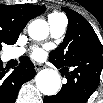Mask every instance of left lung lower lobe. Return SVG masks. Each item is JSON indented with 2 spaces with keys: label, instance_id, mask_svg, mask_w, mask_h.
Masks as SVG:
<instances>
[{
  "label": "left lung lower lobe",
  "instance_id": "left-lung-lower-lobe-1",
  "mask_svg": "<svg viewBox=\"0 0 103 103\" xmlns=\"http://www.w3.org/2000/svg\"><path fill=\"white\" fill-rule=\"evenodd\" d=\"M67 75V83L54 96H45L44 103H86L99 85L103 68V51L91 50L68 67H58ZM71 69L72 71L69 73Z\"/></svg>",
  "mask_w": 103,
  "mask_h": 103
}]
</instances>
